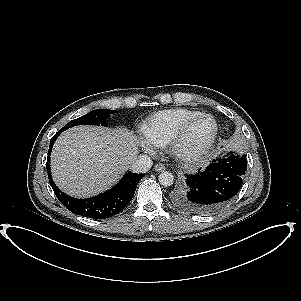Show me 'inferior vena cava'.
<instances>
[{
  "mask_svg": "<svg viewBox=\"0 0 301 301\" xmlns=\"http://www.w3.org/2000/svg\"><path fill=\"white\" fill-rule=\"evenodd\" d=\"M152 160L147 155H138L130 165V170L134 173H146L152 167Z\"/></svg>",
  "mask_w": 301,
  "mask_h": 301,
  "instance_id": "obj_1",
  "label": "inferior vena cava"
}]
</instances>
